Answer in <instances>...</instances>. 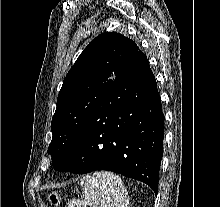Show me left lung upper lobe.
Here are the masks:
<instances>
[{
  "label": "left lung upper lobe",
  "mask_w": 220,
  "mask_h": 207,
  "mask_svg": "<svg viewBox=\"0 0 220 207\" xmlns=\"http://www.w3.org/2000/svg\"><path fill=\"white\" fill-rule=\"evenodd\" d=\"M139 50L130 38L105 32L80 54L63 81L51 122L48 153L53 167L99 111L106 96Z\"/></svg>",
  "instance_id": "left-lung-upper-lobe-1"
}]
</instances>
